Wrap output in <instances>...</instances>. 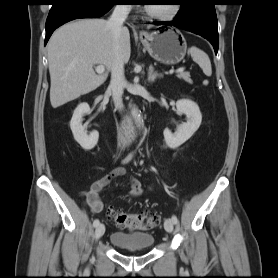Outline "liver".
I'll list each match as a JSON object with an SVG mask.
<instances>
[{
    "mask_svg": "<svg viewBox=\"0 0 278 278\" xmlns=\"http://www.w3.org/2000/svg\"><path fill=\"white\" fill-rule=\"evenodd\" d=\"M107 22L81 19L61 26L51 36L47 51L53 108L90 93L105 82L107 74H96L93 66L103 65L109 71L115 63L114 39ZM118 52L127 63L131 45L126 27L120 33Z\"/></svg>",
    "mask_w": 278,
    "mask_h": 278,
    "instance_id": "6515ba94",
    "label": "liver"
}]
</instances>
